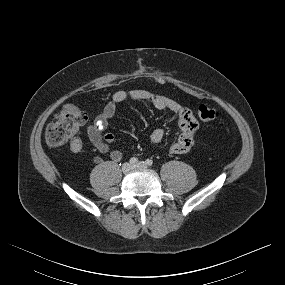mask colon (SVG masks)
I'll return each mask as SVG.
<instances>
[{"mask_svg":"<svg viewBox=\"0 0 285 285\" xmlns=\"http://www.w3.org/2000/svg\"><path fill=\"white\" fill-rule=\"evenodd\" d=\"M197 116L202 122H209L219 117V112L207 105H200ZM87 120L86 114L74 104H66L55 115L54 120L45 130V140L50 146L56 147L65 144L74 137Z\"/></svg>","mask_w":285,"mask_h":285,"instance_id":"1","label":"colon"}]
</instances>
